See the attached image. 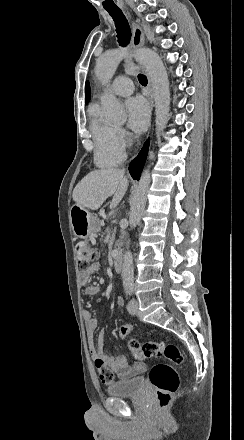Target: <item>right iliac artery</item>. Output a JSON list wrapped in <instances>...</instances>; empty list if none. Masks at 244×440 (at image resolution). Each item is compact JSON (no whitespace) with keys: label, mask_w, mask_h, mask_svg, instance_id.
<instances>
[{"label":"right iliac artery","mask_w":244,"mask_h":440,"mask_svg":"<svg viewBox=\"0 0 244 440\" xmlns=\"http://www.w3.org/2000/svg\"><path fill=\"white\" fill-rule=\"evenodd\" d=\"M128 293H129V290L127 289V290H126V296L128 295Z\"/></svg>","instance_id":"82829eb1"}]
</instances>
